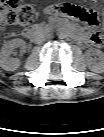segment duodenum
<instances>
[{
  "label": "duodenum",
  "instance_id": "410a0bca",
  "mask_svg": "<svg viewBox=\"0 0 104 137\" xmlns=\"http://www.w3.org/2000/svg\"><path fill=\"white\" fill-rule=\"evenodd\" d=\"M37 34V28L36 27H30L24 31V35L28 38H33ZM77 37L83 41L89 40V36L85 33H80L77 35Z\"/></svg>",
  "mask_w": 104,
  "mask_h": 137
}]
</instances>
